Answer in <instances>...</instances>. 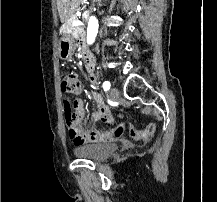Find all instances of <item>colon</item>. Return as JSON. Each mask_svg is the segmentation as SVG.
<instances>
[{
	"label": "colon",
	"mask_w": 217,
	"mask_h": 202,
	"mask_svg": "<svg viewBox=\"0 0 217 202\" xmlns=\"http://www.w3.org/2000/svg\"><path fill=\"white\" fill-rule=\"evenodd\" d=\"M77 77L75 75H68L64 77L61 80L60 87L62 93L65 95V102L64 105L66 107L65 110V123L67 126L68 131H77L76 125L74 123V117L70 113L69 108H68V97L66 96L67 94L73 92V82H76ZM150 127H145V131H137L134 129L132 126H130L127 122H124L121 124L119 127H117L116 130V135H121L123 130H127L129 135L134 138V140H146V141H151V135H154L155 133V123H150ZM148 132V133H147Z\"/></svg>",
	"instance_id": "1"
}]
</instances>
